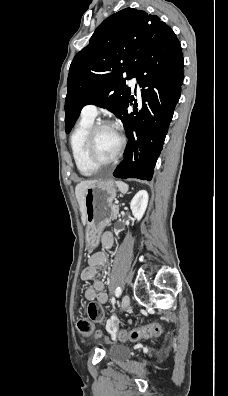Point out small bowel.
<instances>
[{"instance_id":"1","label":"small bowel","mask_w":228,"mask_h":396,"mask_svg":"<svg viewBox=\"0 0 228 396\" xmlns=\"http://www.w3.org/2000/svg\"><path fill=\"white\" fill-rule=\"evenodd\" d=\"M113 241L112 233L105 232L101 238L104 250L91 255L88 259L87 266L81 273V279L89 282V286L85 290V298L96 301L98 304H105L108 301V295L103 291V281L97 277V268L107 264V250L112 247Z\"/></svg>"}]
</instances>
